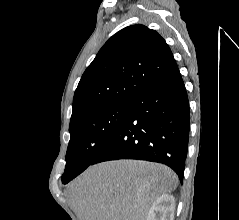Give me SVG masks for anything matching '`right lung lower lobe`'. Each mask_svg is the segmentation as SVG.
Listing matches in <instances>:
<instances>
[{"instance_id": "98d812e1", "label": "right lung lower lobe", "mask_w": 239, "mask_h": 220, "mask_svg": "<svg viewBox=\"0 0 239 220\" xmlns=\"http://www.w3.org/2000/svg\"><path fill=\"white\" fill-rule=\"evenodd\" d=\"M189 102L178 67L141 92L92 164L139 159L163 163L183 180L189 138Z\"/></svg>"}]
</instances>
